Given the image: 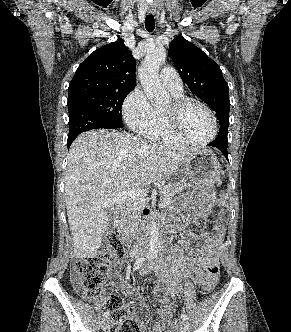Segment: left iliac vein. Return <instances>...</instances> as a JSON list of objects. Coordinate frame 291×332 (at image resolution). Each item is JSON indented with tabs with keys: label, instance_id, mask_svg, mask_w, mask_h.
I'll use <instances>...</instances> for the list:
<instances>
[{
	"label": "left iliac vein",
	"instance_id": "1",
	"mask_svg": "<svg viewBox=\"0 0 291 332\" xmlns=\"http://www.w3.org/2000/svg\"><path fill=\"white\" fill-rule=\"evenodd\" d=\"M180 332H190V326L187 320L180 321Z\"/></svg>",
	"mask_w": 291,
	"mask_h": 332
}]
</instances>
